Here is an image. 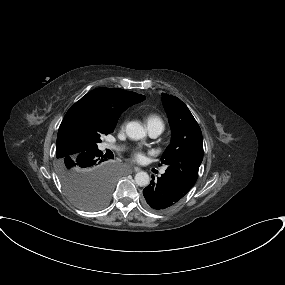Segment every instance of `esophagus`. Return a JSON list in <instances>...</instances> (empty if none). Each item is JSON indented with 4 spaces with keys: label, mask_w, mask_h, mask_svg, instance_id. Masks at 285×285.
<instances>
[{
    "label": "esophagus",
    "mask_w": 285,
    "mask_h": 285,
    "mask_svg": "<svg viewBox=\"0 0 285 285\" xmlns=\"http://www.w3.org/2000/svg\"><path fill=\"white\" fill-rule=\"evenodd\" d=\"M133 169H134L135 172L141 171V168H139V167H134Z\"/></svg>",
    "instance_id": "34e87169"
}]
</instances>
